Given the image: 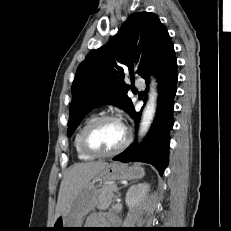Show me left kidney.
Returning a JSON list of instances; mask_svg holds the SVG:
<instances>
[{"mask_svg":"<svg viewBox=\"0 0 231 231\" xmlns=\"http://www.w3.org/2000/svg\"><path fill=\"white\" fill-rule=\"evenodd\" d=\"M150 190V185L146 183L137 184L131 186L125 197L127 206L131 209L137 206L142 200L147 197V193Z\"/></svg>","mask_w":231,"mask_h":231,"instance_id":"obj_1","label":"left kidney"}]
</instances>
